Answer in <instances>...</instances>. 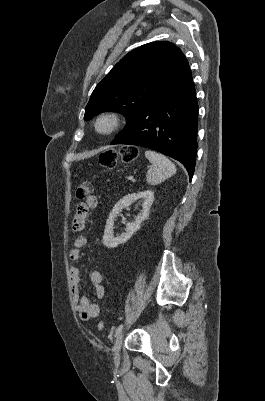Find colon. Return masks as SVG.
<instances>
[{"label":"colon","instance_id":"obj_1","mask_svg":"<svg viewBox=\"0 0 265 401\" xmlns=\"http://www.w3.org/2000/svg\"><path fill=\"white\" fill-rule=\"evenodd\" d=\"M138 156V150L132 146H124L120 149H110L102 152L99 155V163L106 169H114L119 161L131 162ZM93 184L90 181L80 183L76 190V196L79 199H87L92 196ZM98 329H104V323H98Z\"/></svg>","mask_w":265,"mask_h":401}]
</instances>
